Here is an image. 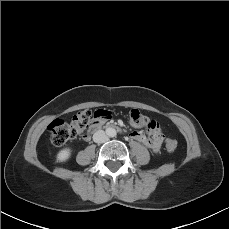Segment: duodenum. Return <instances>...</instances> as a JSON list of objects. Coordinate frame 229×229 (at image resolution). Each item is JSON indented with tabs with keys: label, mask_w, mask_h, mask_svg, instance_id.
Masks as SVG:
<instances>
[{
	"label": "duodenum",
	"mask_w": 229,
	"mask_h": 229,
	"mask_svg": "<svg viewBox=\"0 0 229 229\" xmlns=\"http://www.w3.org/2000/svg\"><path fill=\"white\" fill-rule=\"evenodd\" d=\"M105 125H106V123H105L103 120H98V121H95V122L92 124L91 128H92V129H99V128L105 126Z\"/></svg>",
	"instance_id": "obj_1"
}]
</instances>
